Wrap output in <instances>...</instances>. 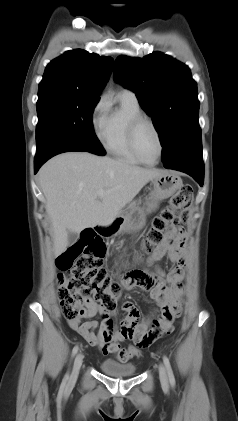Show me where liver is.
<instances>
[{
  "instance_id": "6515ba94",
  "label": "liver",
  "mask_w": 238,
  "mask_h": 421,
  "mask_svg": "<svg viewBox=\"0 0 238 421\" xmlns=\"http://www.w3.org/2000/svg\"><path fill=\"white\" fill-rule=\"evenodd\" d=\"M163 172L88 152L63 153L46 162L39 171V182L52 223L55 255L69 245V231L109 226ZM99 190L104 191L102 197H98Z\"/></svg>"
}]
</instances>
